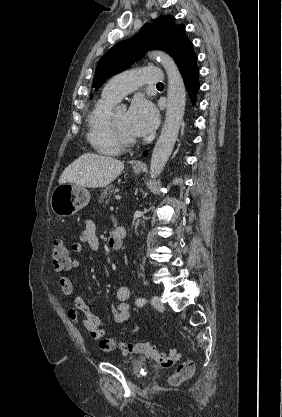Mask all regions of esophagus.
I'll list each match as a JSON object with an SVG mask.
<instances>
[{
  "label": "esophagus",
  "mask_w": 282,
  "mask_h": 417,
  "mask_svg": "<svg viewBox=\"0 0 282 417\" xmlns=\"http://www.w3.org/2000/svg\"><path fill=\"white\" fill-rule=\"evenodd\" d=\"M136 167H145V164L142 162L136 163Z\"/></svg>",
  "instance_id": "34e87169"
}]
</instances>
